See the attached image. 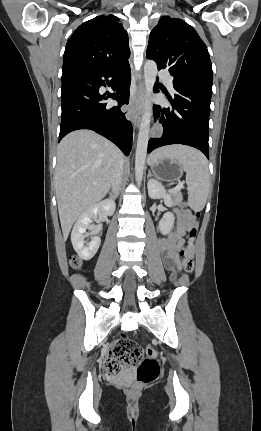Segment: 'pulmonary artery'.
<instances>
[{
    "label": "pulmonary artery",
    "instance_id": "1",
    "mask_svg": "<svg viewBox=\"0 0 261 431\" xmlns=\"http://www.w3.org/2000/svg\"><path fill=\"white\" fill-rule=\"evenodd\" d=\"M158 75L165 81L167 86L172 89V77L166 70H160Z\"/></svg>",
    "mask_w": 261,
    "mask_h": 431
}]
</instances>
